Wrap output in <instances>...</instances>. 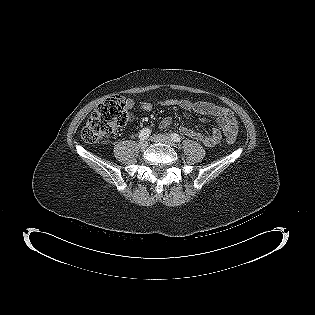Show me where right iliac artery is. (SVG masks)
I'll use <instances>...</instances> for the list:
<instances>
[{
  "mask_svg": "<svg viewBox=\"0 0 315 315\" xmlns=\"http://www.w3.org/2000/svg\"><path fill=\"white\" fill-rule=\"evenodd\" d=\"M151 134V130L149 128H144L139 132V138L140 140H145L149 137Z\"/></svg>",
  "mask_w": 315,
  "mask_h": 315,
  "instance_id": "right-iliac-artery-1",
  "label": "right iliac artery"
}]
</instances>
